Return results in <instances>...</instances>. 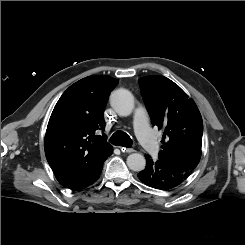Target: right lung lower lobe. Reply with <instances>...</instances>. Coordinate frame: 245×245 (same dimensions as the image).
I'll use <instances>...</instances> for the list:
<instances>
[{"mask_svg":"<svg viewBox=\"0 0 245 245\" xmlns=\"http://www.w3.org/2000/svg\"><path fill=\"white\" fill-rule=\"evenodd\" d=\"M103 163L104 161L97 163L88 173L66 187L76 190L92 185L98 180L103 168Z\"/></svg>","mask_w":245,"mask_h":245,"instance_id":"98d812e1","label":"right lung lower lobe"}]
</instances>
